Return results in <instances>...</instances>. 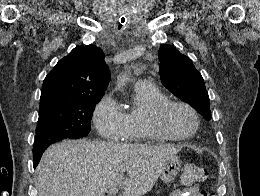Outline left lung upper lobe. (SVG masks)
<instances>
[{
	"label": "left lung upper lobe",
	"instance_id": "obj_1",
	"mask_svg": "<svg viewBox=\"0 0 260 196\" xmlns=\"http://www.w3.org/2000/svg\"><path fill=\"white\" fill-rule=\"evenodd\" d=\"M159 59L162 84L182 101L189 103L206 120H211L204 80L192 61L170 45H161Z\"/></svg>",
	"mask_w": 260,
	"mask_h": 196
}]
</instances>
